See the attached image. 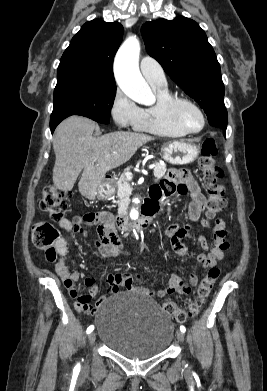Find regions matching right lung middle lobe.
I'll list each match as a JSON object with an SVG mask.
<instances>
[{"label":"right lung middle lobe","mask_w":267,"mask_h":391,"mask_svg":"<svg viewBox=\"0 0 267 391\" xmlns=\"http://www.w3.org/2000/svg\"><path fill=\"white\" fill-rule=\"evenodd\" d=\"M57 80L50 122L82 115L102 124L109 123L116 94L114 78L78 73Z\"/></svg>","instance_id":"obj_1"}]
</instances>
